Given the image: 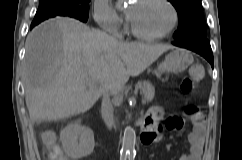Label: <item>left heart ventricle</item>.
I'll list each match as a JSON object with an SVG mask.
<instances>
[{"mask_svg":"<svg viewBox=\"0 0 242 160\" xmlns=\"http://www.w3.org/2000/svg\"><path fill=\"white\" fill-rule=\"evenodd\" d=\"M128 17L135 29L146 35L164 32L172 23V12L162 0H134Z\"/></svg>","mask_w":242,"mask_h":160,"instance_id":"1","label":"left heart ventricle"}]
</instances>
